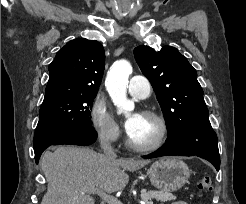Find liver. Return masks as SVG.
Listing matches in <instances>:
<instances>
[{"label":"liver","instance_id":"liver-1","mask_svg":"<svg viewBox=\"0 0 246 204\" xmlns=\"http://www.w3.org/2000/svg\"><path fill=\"white\" fill-rule=\"evenodd\" d=\"M149 163L141 159H107L88 148L57 147L46 151L41 168L48 183L41 204H95L94 189L113 193L126 187L129 176Z\"/></svg>","mask_w":246,"mask_h":204}]
</instances>
